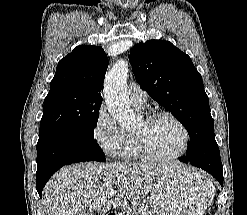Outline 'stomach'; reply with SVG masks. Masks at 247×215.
<instances>
[{
    "mask_svg": "<svg viewBox=\"0 0 247 215\" xmlns=\"http://www.w3.org/2000/svg\"><path fill=\"white\" fill-rule=\"evenodd\" d=\"M215 188L205 173L194 168L172 169L150 193L154 215H202Z\"/></svg>",
    "mask_w": 247,
    "mask_h": 215,
    "instance_id": "0dacf381",
    "label": "stomach"
}]
</instances>
